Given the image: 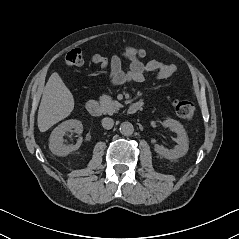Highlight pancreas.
Here are the masks:
<instances>
[{"label":"pancreas","mask_w":239,"mask_h":239,"mask_svg":"<svg viewBox=\"0 0 239 239\" xmlns=\"http://www.w3.org/2000/svg\"><path fill=\"white\" fill-rule=\"evenodd\" d=\"M100 104L104 113L107 114H113L122 107L118 101L112 100V98L108 95H103L100 97Z\"/></svg>","instance_id":"cf45deb5"}]
</instances>
